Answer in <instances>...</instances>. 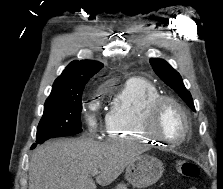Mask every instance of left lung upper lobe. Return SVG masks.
<instances>
[{"instance_id": "5c2ea615", "label": "left lung upper lobe", "mask_w": 223, "mask_h": 189, "mask_svg": "<svg viewBox=\"0 0 223 189\" xmlns=\"http://www.w3.org/2000/svg\"><path fill=\"white\" fill-rule=\"evenodd\" d=\"M150 64L158 77L170 86L195 111L191 94L185 88L180 74L162 59H150Z\"/></svg>"}]
</instances>
